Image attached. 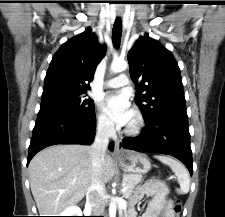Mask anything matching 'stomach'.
<instances>
[{"instance_id": "stomach-1", "label": "stomach", "mask_w": 225, "mask_h": 217, "mask_svg": "<svg viewBox=\"0 0 225 217\" xmlns=\"http://www.w3.org/2000/svg\"><path fill=\"white\" fill-rule=\"evenodd\" d=\"M118 161L122 170L129 174L141 175L147 173L151 168L149 159L144 154L137 152L128 151Z\"/></svg>"}]
</instances>
